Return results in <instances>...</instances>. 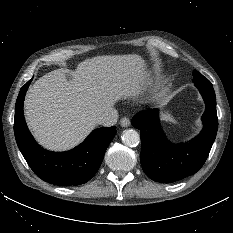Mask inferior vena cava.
Instances as JSON below:
<instances>
[{
  "instance_id": "602c4592",
  "label": "inferior vena cava",
  "mask_w": 233,
  "mask_h": 233,
  "mask_svg": "<svg viewBox=\"0 0 233 233\" xmlns=\"http://www.w3.org/2000/svg\"><path fill=\"white\" fill-rule=\"evenodd\" d=\"M117 117V110L111 108L97 118V123L105 127L113 126L117 122Z\"/></svg>"
}]
</instances>
